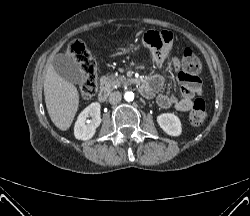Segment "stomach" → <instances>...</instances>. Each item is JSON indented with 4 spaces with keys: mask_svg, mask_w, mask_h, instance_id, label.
<instances>
[{
    "mask_svg": "<svg viewBox=\"0 0 250 216\" xmlns=\"http://www.w3.org/2000/svg\"><path fill=\"white\" fill-rule=\"evenodd\" d=\"M139 46H135L134 49H138ZM131 51L130 48H124V49H121L120 51H118L115 55H123V54H127Z\"/></svg>",
    "mask_w": 250,
    "mask_h": 216,
    "instance_id": "stomach-1",
    "label": "stomach"
}]
</instances>
